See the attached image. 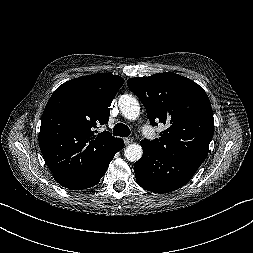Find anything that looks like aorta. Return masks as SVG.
<instances>
[{
	"instance_id": "762f6f07",
	"label": "aorta",
	"mask_w": 253,
	"mask_h": 253,
	"mask_svg": "<svg viewBox=\"0 0 253 253\" xmlns=\"http://www.w3.org/2000/svg\"><path fill=\"white\" fill-rule=\"evenodd\" d=\"M118 105L122 114L128 120H136L140 114V106L137 99L131 95H122L119 98ZM142 147L139 144L133 143L126 147L125 158L128 161L136 162L142 157Z\"/></svg>"
}]
</instances>
